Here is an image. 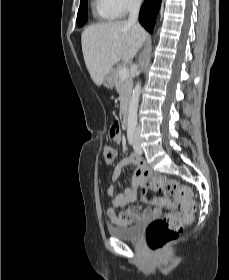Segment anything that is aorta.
<instances>
[{"mask_svg": "<svg viewBox=\"0 0 229 280\" xmlns=\"http://www.w3.org/2000/svg\"><path fill=\"white\" fill-rule=\"evenodd\" d=\"M141 92V83H137L133 89L129 110H128V129L135 130L137 126V110Z\"/></svg>", "mask_w": 229, "mask_h": 280, "instance_id": "obj_1", "label": "aorta"}]
</instances>
